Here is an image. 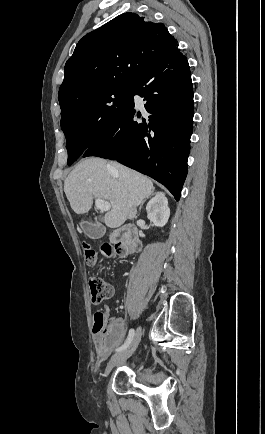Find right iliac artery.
I'll list each match as a JSON object with an SVG mask.
<instances>
[{
    "label": "right iliac artery",
    "mask_w": 265,
    "mask_h": 434,
    "mask_svg": "<svg viewBox=\"0 0 265 434\" xmlns=\"http://www.w3.org/2000/svg\"><path fill=\"white\" fill-rule=\"evenodd\" d=\"M133 337H134V329H130L127 340L125 341V343L121 347L116 349V352H121V351L125 350L129 346V344L131 343Z\"/></svg>",
    "instance_id": "right-iliac-artery-1"
}]
</instances>
